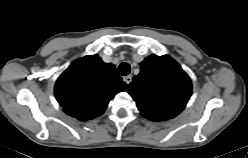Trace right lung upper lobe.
<instances>
[{
	"instance_id": "cb5924a9",
	"label": "right lung upper lobe",
	"mask_w": 248,
	"mask_h": 158,
	"mask_svg": "<svg viewBox=\"0 0 248 158\" xmlns=\"http://www.w3.org/2000/svg\"><path fill=\"white\" fill-rule=\"evenodd\" d=\"M126 86L113 64L89 55L73 62L60 75L55 97L67 115L87 121L102 115L108 102Z\"/></svg>"
}]
</instances>
